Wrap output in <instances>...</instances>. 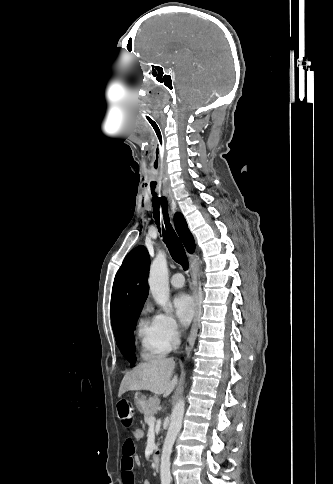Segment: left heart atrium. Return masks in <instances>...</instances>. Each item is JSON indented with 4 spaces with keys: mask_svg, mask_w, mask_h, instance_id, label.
<instances>
[{
    "mask_svg": "<svg viewBox=\"0 0 333 484\" xmlns=\"http://www.w3.org/2000/svg\"><path fill=\"white\" fill-rule=\"evenodd\" d=\"M173 305L180 322L187 325L195 313L193 299L185 293H180L174 298Z\"/></svg>",
    "mask_w": 333,
    "mask_h": 484,
    "instance_id": "39dd6f15",
    "label": "left heart atrium"
}]
</instances>
